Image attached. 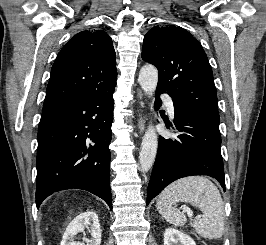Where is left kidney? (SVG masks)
<instances>
[{"label":"left kidney","instance_id":"left-kidney-1","mask_svg":"<svg viewBox=\"0 0 266 245\" xmlns=\"http://www.w3.org/2000/svg\"><path fill=\"white\" fill-rule=\"evenodd\" d=\"M164 245H196L193 239L177 229H166L164 233Z\"/></svg>","mask_w":266,"mask_h":245}]
</instances>
